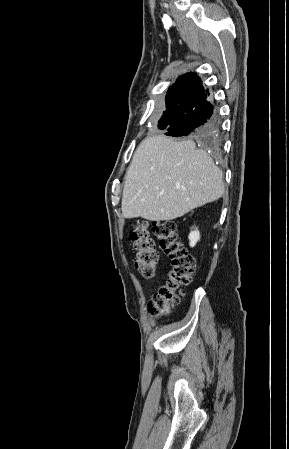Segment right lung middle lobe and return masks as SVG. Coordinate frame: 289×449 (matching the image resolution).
<instances>
[{
    "mask_svg": "<svg viewBox=\"0 0 289 449\" xmlns=\"http://www.w3.org/2000/svg\"><path fill=\"white\" fill-rule=\"evenodd\" d=\"M165 100H166V103H167V110L163 113V116H162L161 120L159 121V128L160 129H164V131L166 130V128L169 125V121H170L171 114H172L170 106H169L167 95H166V99Z\"/></svg>",
    "mask_w": 289,
    "mask_h": 449,
    "instance_id": "dd1d6c3e",
    "label": "right lung middle lobe"
}]
</instances>
